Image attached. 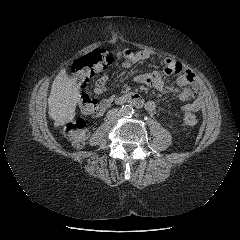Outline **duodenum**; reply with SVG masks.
Listing matches in <instances>:
<instances>
[{
    "label": "duodenum",
    "mask_w": 240,
    "mask_h": 240,
    "mask_svg": "<svg viewBox=\"0 0 240 240\" xmlns=\"http://www.w3.org/2000/svg\"><path fill=\"white\" fill-rule=\"evenodd\" d=\"M115 103L119 105L130 104L137 108L145 106L144 100L141 98L140 95L136 93H127L125 95H122L115 100Z\"/></svg>",
    "instance_id": "410a0bca"
}]
</instances>
